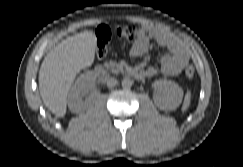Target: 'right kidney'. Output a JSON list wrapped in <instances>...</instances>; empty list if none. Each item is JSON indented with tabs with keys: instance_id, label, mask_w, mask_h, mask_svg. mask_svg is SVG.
Segmentation results:
<instances>
[{
	"instance_id": "right-kidney-1",
	"label": "right kidney",
	"mask_w": 243,
	"mask_h": 167,
	"mask_svg": "<svg viewBox=\"0 0 243 167\" xmlns=\"http://www.w3.org/2000/svg\"><path fill=\"white\" fill-rule=\"evenodd\" d=\"M96 77L93 72L89 71L81 74L72 86L67 103L71 112L79 113L88 106L85 93L95 83Z\"/></svg>"
}]
</instances>
